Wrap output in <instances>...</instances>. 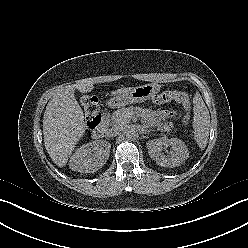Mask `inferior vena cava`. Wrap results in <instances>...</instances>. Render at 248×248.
Listing matches in <instances>:
<instances>
[{
  "mask_svg": "<svg viewBox=\"0 0 248 248\" xmlns=\"http://www.w3.org/2000/svg\"><path fill=\"white\" fill-rule=\"evenodd\" d=\"M122 131V128L121 127H112V128H109L107 131H106V135L108 137H113V136H117L120 134V132Z\"/></svg>",
  "mask_w": 248,
  "mask_h": 248,
  "instance_id": "obj_1",
  "label": "inferior vena cava"
}]
</instances>
